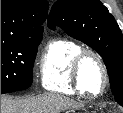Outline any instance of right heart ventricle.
<instances>
[{
	"label": "right heart ventricle",
	"instance_id": "obj_1",
	"mask_svg": "<svg viewBox=\"0 0 123 113\" xmlns=\"http://www.w3.org/2000/svg\"><path fill=\"white\" fill-rule=\"evenodd\" d=\"M80 50V45L62 37L46 44L39 66L40 83L45 90L63 94L80 93L71 74L73 59Z\"/></svg>",
	"mask_w": 123,
	"mask_h": 113
}]
</instances>
